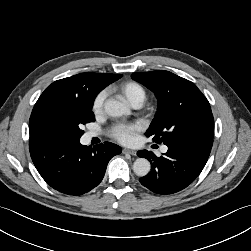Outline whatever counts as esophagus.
I'll return each mask as SVG.
<instances>
[{
	"label": "esophagus",
	"instance_id": "esophagus-1",
	"mask_svg": "<svg viewBox=\"0 0 251 251\" xmlns=\"http://www.w3.org/2000/svg\"><path fill=\"white\" fill-rule=\"evenodd\" d=\"M123 153H124V154H130V155H133V156L136 155V151H134V150H132V149H128V148H124V149H123Z\"/></svg>",
	"mask_w": 251,
	"mask_h": 251
}]
</instances>
